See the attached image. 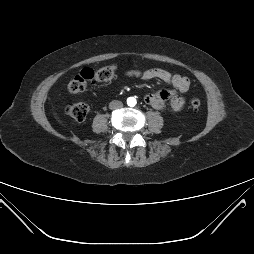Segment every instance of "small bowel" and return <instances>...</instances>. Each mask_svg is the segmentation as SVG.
Instances as JSON below:
<instances>
[{
  "instance_id": "1",
  "label": "small bowel",
  "mask_w": 254,
  "mask_h": 254,
  "mask_svg": "<svg viewBox=\"0 0 254 254\" xmlns=\"http://www.w3.org/2000/svg\"><path fill=\"white\" fill-rule=\"evenodd\" d=\"M126 75L129 77L141 78L143 80H160L172 87L171 90H160L145 96V102L154 109H163L167 101H170V108L175 113L180 112L184 108L185 98L181 93L188 91L190 87V81L187 77L172 74L161 68H153L143 71L130 70L126 72Z\"/></svg>"
}]
</instances>
